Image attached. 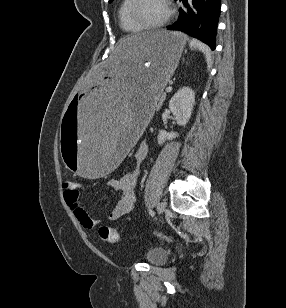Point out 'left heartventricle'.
I'll return each instance as SVG.
<instances>
[{
	"label": "left heart ventricle",
	"instance_id": "obj_1",
	"mask_svg": "<svg viewBox=\"0 0 286 308\" xmlns=\"http://www.w3.org/2000/svg\"><path fill=\"white\" fill-rule=\"evenodd\" d=\"M167 13L164 0H140L138 16L145 23H157Z\"/></svg>",
	"mask_w": 286,
	"mask_h": 308
}]
</instances>
